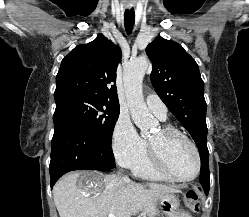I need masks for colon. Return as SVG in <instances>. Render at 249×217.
Masks as SVG:
<instances>
[{
	"mask_svg": "<svg viewBox=\"0 0 249 217\" xmlns=\"http://www.w3.org/2000/svg\"><path fill=\"white\" fill-rule=\"evenodd\" d=\"M200 191L198 189H189L185 192L184 202L186 206L193 212L200 209Z\"/></svg>",
	"mask_w": 249,
	"mask_h": 217,
	"instance_id": "5ec220e1",
	"label": "colon"
}]
</instances>
